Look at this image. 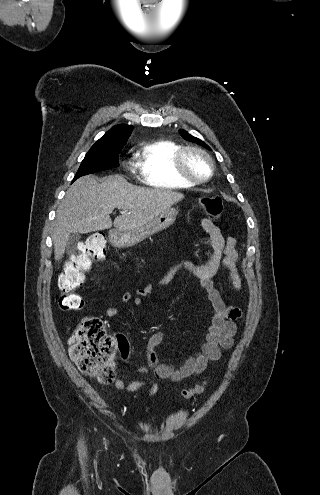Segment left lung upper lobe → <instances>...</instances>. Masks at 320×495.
Instances as JSON below:
<instances>
[{"instance_id":"1","label":"left lung upper lobe","mask_w":320,"mask_h":495,"mask_svg":"<svg viewBox=\"0 0 320 495\" xmlns=\"http://www.w3.org/2000/svg\"><path fill=\"white\" fill-rule=\"evenodd\" d=\"M180 134H181V136H182L185 140L190 141V142H194V143H196V144H198V145H201V146H203V147H205V148H207V149H210V147H209L206 143H204L203 141H201V140H200V139H198V138H195V137L191 136V135H190V134H188L186 131H184V130H180Z\"/></svg>"}]
</instances>
